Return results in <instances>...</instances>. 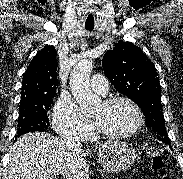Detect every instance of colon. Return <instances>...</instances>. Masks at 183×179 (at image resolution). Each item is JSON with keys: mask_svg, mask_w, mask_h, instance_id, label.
I'll return each instance as SVG.
<instances>
[{"mask_svg": "<svg viewBox=\"0 0 183 179\" xmlns=\"http://www.w3.org/2000/svg\"><path fill=\"white\" fill-rule=\"evenodd\" d=\"M151 168L158 173L160 179H171L164 171V164L161 154L156 149L150 150Z\"/></svg>", "mask_w": 183, "mask_h": 179, "instance_id": "colon-1", "label": "colon"}]
</instances>
